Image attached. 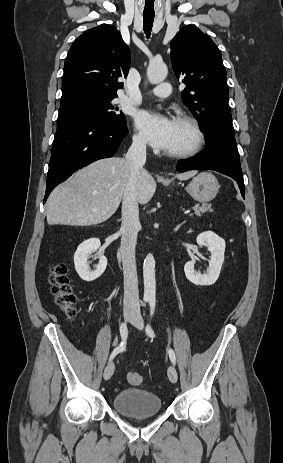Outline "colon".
I'll return each instance as SVG.
<instances>
[{"instance_id": "1", "label": "colon", "mask_w": 283, "mask_h": 463, "mask_svg": "<svg viewBox=\"0 0 283 463\" xmlns=\"http://www.w3.org/2000/svg\"><path fill=\"white\" fill-rule=\"evenodd\" d=\"M49 283L56 303L62 308L68 319H73L76 314L77 296L70 284L68 269L65 264L59 263L51 267ZM127 381L131 385H141L143 378L139 373L132 371L127 374Z\"/></svg>"}]
</instances>
